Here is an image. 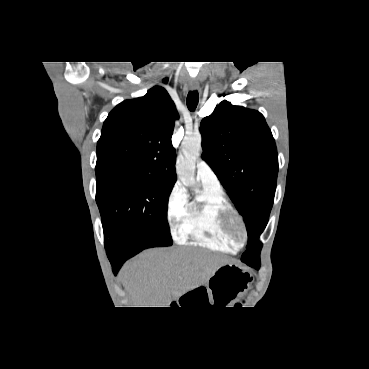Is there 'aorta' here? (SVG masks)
Returning <instances> with one entry per match:
<instances>
[{
  "instance_id": "762f6f07",
  "label": "aorta",
  "mask_w": 369,
  "mask_h": 369,
  "mask_svg": "<svg viewBox=\"0 0 369 369\" xmlns=\"http://www.w3.org/2000/svg\"><path fill=\"white\" fill-rule=\"evenodd\" d=\"M202 138L199 133L185 136L176 171L179 179L189 187H195V162L200 155Z\"/></svg>"
}]
</instances>
